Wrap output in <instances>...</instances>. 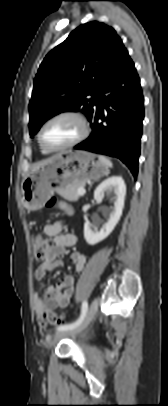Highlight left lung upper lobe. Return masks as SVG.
<instances>
[{"instance_id":"1","label":"left lung upper lobe","mask_w":168,"mask_h":406,"mask_svg":"<svg viewBox=\"0 0 168 406\" xmlns=\"http://www.w3.org/2000/svg\"><path fill=\"white\" fill-rule=\"evenodd\" d=\"M124 49L112 27L92 21L76 28L51 50L34 80L29 103L30 135L64 111H81L90 120L99 89Z\"/></svg>"}]
</instances>
